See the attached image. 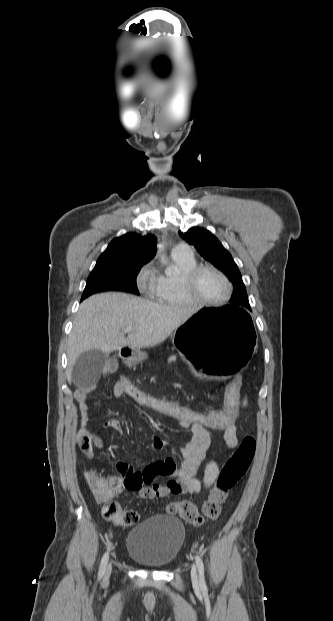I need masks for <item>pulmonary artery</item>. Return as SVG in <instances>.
Here are the masks:
<instances>
[{
	"label": "pulmonary artery",
	"instance_id": "1",
	"mask_svg": "<svg viewBox=\"0 0 333 621\" xmlns=\"http://www.w3.org/2000/svg\"><path fill=\"white\" fill-rule=\"evenodd\" d=\"M173 253L184 255V256H192L191 248L187 244H184V243H181L175 246L173 248Z\"/></svg>",
	"mask_w": 333,
	"mask_h": 621
}]
</instances>
